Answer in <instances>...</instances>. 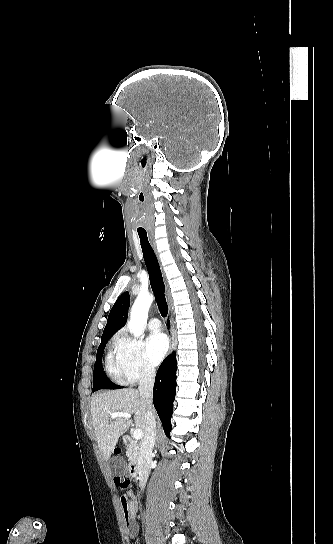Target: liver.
I'll use <instances>...</instances> for the list:
<instances>
[{"label": "liver", "instance_id": "1", "mask_svg": "<svg viewBox=\"0 0 333 544\" xmlns=\"http://www.w3.org/2000/svg\"><path fill=\"white\" fill-rule=\"evenodd\" d=\"M123 412L134 415L137 429L145 432L147 405L144 397L133 388L106 391L93 396L91 416L95 437L103 458L108 461L118 439L132 425L129 418L110 419L112 413Z\"/></svg>", "mask_w": 333, "mask_h": 544}]
</instances>
